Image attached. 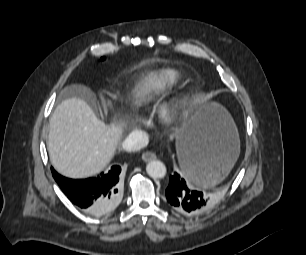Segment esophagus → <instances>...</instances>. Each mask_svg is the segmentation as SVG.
Wrapping results in <instances>:
<instances>
[{"instance_id": "obj_1", "label": "esophagus", "mask_w": 306, "mask_h": 255, "mask_svg": "<svg viewBox=\"0 0 306 255\" xmlns=\"http://www.w3.org/2000/svg\"><path fill=\"white\" fill-rule=\"evenodd\" d=\"M156 154L152 151H146L142 154V159L145 161V162H149V161H152V160H155L156 159Z\"/></svg>"}]
</instances>
